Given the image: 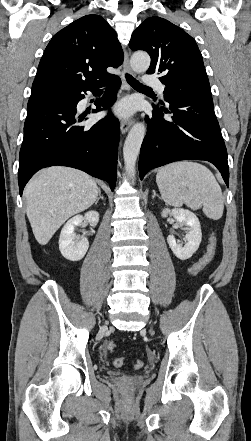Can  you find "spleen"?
I'll return each instance as SVG.
<instances>
[{
	"mask_svg": "<svg viewBox=\"0 0 251 441\" xmlns=\"http://www.w3.org/2000/svg\"><path fill=\"white\" fill-rule=\"evenodd\" d=\"M156 183L162 199L168 205L183 204L192 209L203 207L204 214L213 220L223 215L222 190L213 173L204 165L178 161L159 169Z\"/></svg>",
	"mask_w": 251,
	"mask_h": 441,
	"instance_id": "spleen-1",
	"label": "spleen"
}]
</instances>
